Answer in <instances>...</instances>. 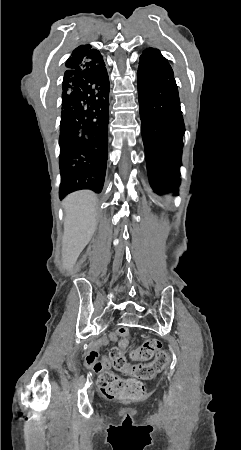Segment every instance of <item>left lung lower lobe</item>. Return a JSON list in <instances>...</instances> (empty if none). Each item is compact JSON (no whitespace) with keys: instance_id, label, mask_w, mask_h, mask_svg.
Wrapping results in <instances>:
<instances>
[{"instance_id":"0a47b994","label":"left lung lower lobe","mask_w":241,"mask_h":450,"mask_svg":"<svg viewBox=\"0 0 241 450\" xmlns=\"http://www.w3.org/2000/svg\"><path fill=\"white\" fill-rule=\"evenodd\" d=\"M138 96L148 177L158 194L177 193L185 132L173 70L159 50L140 56Z\"/></svg>"}]
</instances>
